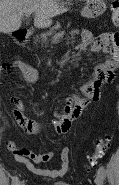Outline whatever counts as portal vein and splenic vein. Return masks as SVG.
<instances>
[{
	"instance_id": "portal-vein-and-splenic-vein-1",
	"label": "portal vein and splenic vein",
	"mask_w": 119,
	"mask_h": 185,
	"mask_svg": "<svg viewBox=\"0 0 119 185\" xmlns=\"http://www.w3.org/2000/svg\"><path fill=\"white\" fill-rule=\"evenodd\" d=\"M25 15L28 17V16L30 15V13H26ZM64 34H65L64 31H61V32L57 33V34L53 37L51 43H56L60 38L63 37Z\"/></svg>"
}]
</instances>
